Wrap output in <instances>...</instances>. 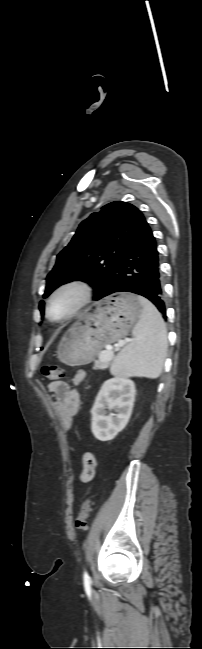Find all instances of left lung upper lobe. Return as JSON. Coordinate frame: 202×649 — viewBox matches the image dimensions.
<instances>
[{"label": "left lung upper lobe", "mask_w": 202, "mask_h": 649, "mask_svg": "<svg viewBox=\"0 0 202 649\" xmlns=\"http://www.w3.org/2000/svg\"><path fill=\"white\" fill-rule=\"evenodd\" d=\"M143 220L139 209L122 201L109 203L100 212L91 214L57 256L46 278L43 297L62 284L82 280L97 285L96 300L110 280L127 241ZM39 309L43 314V302Z\"/></svg>", "instance_id": "1"}]
</instances>
